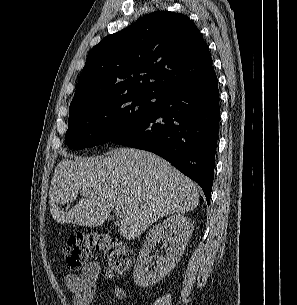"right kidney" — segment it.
I'll return each mask as SVG.
<instances>
[{"instance_id": "ca27d5eb", "label": "right kidney", "mask_w": 297, "mask_h": 305, "mask_svg": "<svg viewBox=\"0 0 297 305\" xmlns=\"http://www.w3.org/2000/svg\"><path fill=\"white\" fill-rule=\"evenodd\" d=\"M193 232V224L184 215H173L153 227L146 237L134 266L133 278L139 287H150L162 280L178 263ZM163 241L166 256L157 257V265L149 271L153 256L150 250Z\"/></svg>"}]
</instances>
